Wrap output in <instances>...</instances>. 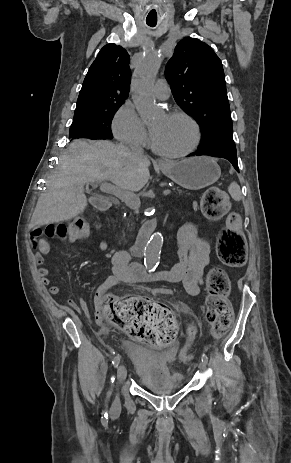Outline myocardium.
<instances>
[{
    "label": "myocardium",
    "instance_id": "1",
    "mask_svg": "<svg viewBox=\"0 0 291 463\" xmlns=\"http://www.w3.org/2000/svg\"><path fill=\"white\" fill-rule=\"evenodd\" d=\"M168 117H174V118H181L185 120L189 125L192 127L193 130V139L190 145L178 152H173V153H168L159 150L153 143V138L151 139V148L152 150L158 154L159 156L163 158H168V159H176V158H181L185 157L189 154H191L199 145L200 140H201V130L198 122L187 112L183 110H173L170 111L167 115Z\"/></svg>",
    "mask_w": 291,
    "mask_h": 463
}]
</instances>
